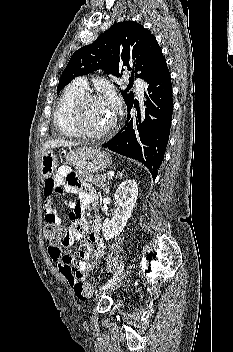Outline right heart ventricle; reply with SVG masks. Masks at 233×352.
<instances>
[{
    "label": "right heart ventricle",
    "mask_w": 233,
    "mask_h": 352,
    "mask_svg": "<svg viewBox=\"0 0 233 352\" xmlns=\"http://www.w3.org/2000/svg\"><path fill=\"white\" fill-rule=\"evenodd\" d=\"M85 93L86 89L73 82L62 94L54 114L55 127L62 135L78 136L71 123V112L76 101Z\"/></svg>",
    "instance_id": "1"
}]
</instances>
